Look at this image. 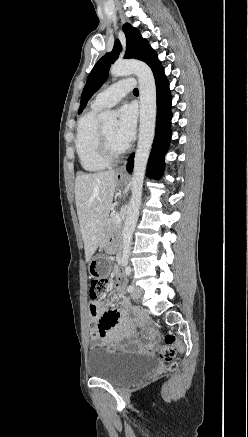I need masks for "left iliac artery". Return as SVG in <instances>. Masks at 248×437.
<instances>
[{
  "label": "left iliac artery",
  "instance_id": "44dca946",
  "mask_svg": "<svg viewBox=\"0 0 248 437\" xmlns=\"http://www.w3.org/2000/svg\"><path fill=\"white\" fill-rule=\"evenodd\" d=\"M125 273H126L127 276H129L130 273H131V268H130V267H127L126 270H125ZM127 291H128V292H132V291H133V286H132V285H129V286L127 287Z\"/></svg>",
  "mask_w": 248,
  "mask_h": 437
}]
</instances>
